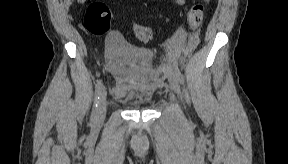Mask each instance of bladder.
<instances>
[{
  "instance_id": "31cf9c89",
  "label": "bladder",
  "mask_w": 288,
  "mask_h": 164,
  "mask_svg": "<svg viewBox=\"0 0 288 164\" xmlns=\"http://www.w3.org/2000/svg\"><path fill=\"white\" fill-rule=\"evenodd\" d=\"M105 58L115 78L113 96L126 101H132L141 96L154 58L153 51L147 47L114 40L106 45ZM133 107L149 109L153 107V102L151 98L143 97L136 100Z\"/></svg>"
}]
</instances>
